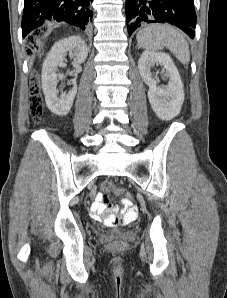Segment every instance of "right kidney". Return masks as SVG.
<instances>
[{
	"mask_svg": "<svg viewBox=\"0 0 227 298\" xmlns=\"http://www.w3.org/2000/svg\"><path fill=\"white\" fill-rule=\"evenodd\" d=\"M69 53L74 59V66L82 64L88 56V48L85 41L78 36H71L56 42L47 54L42 66V89L45 95L46 105L54 114L67 115L72 107L77 93L76 80H72L73 88L66 94L59 95L57 90L58 66L62 65Z\"/></svg>",
	"mask_w": 227,
	"mask_h": 298,
	"instance_id": "ca27d5eb",
	"label": "right kidney"
}]
</instances>
